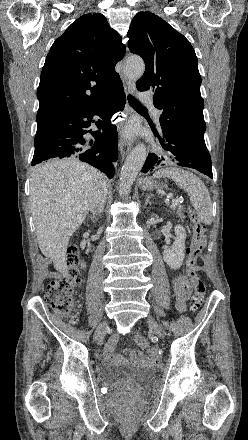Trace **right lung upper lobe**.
Masks as SVG:
<instances>
[{
	"label": "right lung upper lobe",
	"instance_id": "1",
	"mask_svg": "<svg viewBox=\"0 0 248 440\" xmlns=\"http://www.w3.org/2000/svg\"><path fill=\"white\" fill-rule=\"evenodd\" d=\"M120 40L102 14L73 22L46 57L37 90V123L107 96L120 80L115 71L125 54Z\"/></svg>",
	"mask_w": 248,
	"mask_h": 440
}]
</instances>
